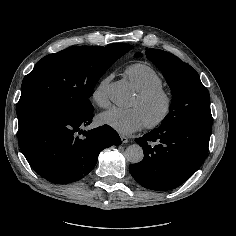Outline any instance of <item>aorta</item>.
Here are the masks:
<instances>
[{
	"instance_id": "obj_1",
	"label": "aorta",
	"mask_w": 236,
	"mask_h": 236,
	"mask_svg": "<svg viewBox=\"0 0 236 236\" xmlns=\"http://www.w3.org/2000/svg\"><path fill=\"white\" fill-rule=\"evenodd\" d=\"M112 100L119 104L125 100V95L123 93L113 94ZM125 157L133 164L141 162L144 158L142 147L138 144L129 145L125 150Z\"/></svg>"
}]
</instances>
